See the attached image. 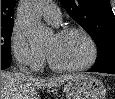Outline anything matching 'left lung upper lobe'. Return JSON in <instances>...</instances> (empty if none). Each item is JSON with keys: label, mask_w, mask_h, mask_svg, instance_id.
I'll return each instance as SVG.
<instances>
[{"label": "left lung upper lobe", "mask_w": 115, "mask_h": 99, "mask_svg": "<svg viewBox=\"0 0 115 99\" xmlns=\"http://www.w3.org/2000/svg\"><path fill=\"white\" fill-rule=\"evenodd\" d=\"M97 46L94 68L115 65V19L109 0H60Z\"/></svg>", "instance_id": "left-lung-upper-lobe-1"}]
</instances>
